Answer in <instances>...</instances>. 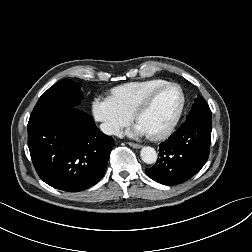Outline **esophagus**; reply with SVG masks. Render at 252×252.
I'll return each instance as SVG.
<instances>
[{
    "mask_svg": "<svg viewBox=\"0 0 252 252\" xmlns=\"http://www.w3.org/2000/svg\"><path fill=\"white\" fill-rule=\"evenodd\" d=\"M128 144L133 147V148H136V149H139L142 147L141 144H138V143H134V142H128Z\"/></svg>",
    "mask_w": 252,
    "mask_h": 252,
    "instance_id": "34e87169",
    "label": "esophagus"
}]
</instances>
